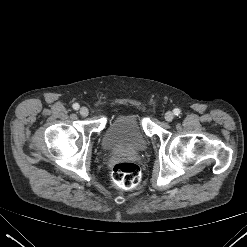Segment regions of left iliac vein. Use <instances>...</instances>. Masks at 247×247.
<instances>
[{
    "mask_svg": "<svg viewBox=\"0 0 247 247\" xmlns=\"http://www.w3.org/2000/svg\"><path fill=\"white\" fill-rule=\"evenodd\" d=\"M174 118V114L171 111L165 113V120L171 122Z\"/></svg>",
    "mask_w": 247,
    "mask_h": 247,
    "instance_id": "left-iliac-vein-1",
    "label": "left iliac vein"
}]
</instances>
